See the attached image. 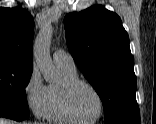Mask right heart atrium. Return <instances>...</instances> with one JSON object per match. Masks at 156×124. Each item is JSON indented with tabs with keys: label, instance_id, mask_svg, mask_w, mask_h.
<instances>
[{
	"label": "right heart atrium",
	"instance_id": "1",
	"mask_svg": "<svg viewBox=\"0 0 156 124\" xmlns=\"http://www.w3.org/2000/svg\"><path fill=\"white\" fill-rule=\"evenodd\" d=\"M24 95L27 106L38 118H47L48 89L41 80L36 68L30 72L24 86Z\"/></svg>",
	"mask_w": 156,
	"mask_h": 124
}]
</instances>
